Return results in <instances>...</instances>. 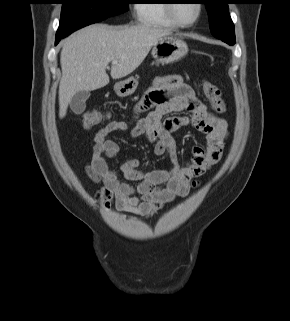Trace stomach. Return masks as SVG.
<instances>
[{
  "mask_svg": "<svg viewBox=\"0 0 290 321\" xmlns=\"http://www.w3.org/2000/svg\"><path fill=\"white\" fill-rule=\"evenodd\" d=\"M188 52L186 42L179 36L169 34L161 37L152 48V56L157 63L162 65L176 62ZM138 81L129 77L115 84L114 90L119 97H126L134 93Z\"/></svg>",
  "mask_w": 290,
  "mask_h": 321,
  "instance_id": "stomach-1",
  "label": "stomach"
}]
</instances>
